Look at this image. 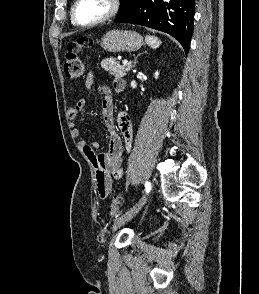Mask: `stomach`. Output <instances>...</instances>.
<instances>
[{"label":"stomach","instance_id":"obj_1","mask_svg":"<svg viewBox=\"0 0 259 294\" xmlns=\"http://www.w3.org/2000/svg\"><path fill=\"white\" fill-rule=\"evenodd\" d=\"M143 45V38L134 31L111 30L101 39L100 46L112 53L137 51Z\"/></svg>","mask_w":259,"mask_h":294}]
</instances>
